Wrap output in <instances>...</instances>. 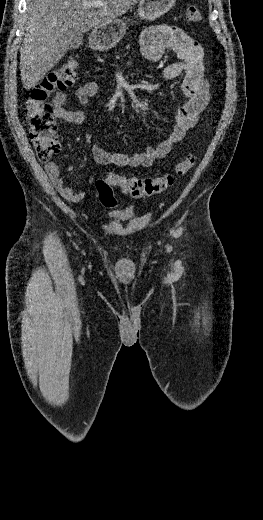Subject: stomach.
Returning <instances> with one entry per match:
<instances>
[{
  "label": "stomach",
  "mask_w": 263,
  "mask_h": 520,
  "mask_svg": "<svg viewBox=\"0 0 263 520\" xmlns=\"http://www.w3.org/2000/svg\"><path fill=\"white\" fill-rule=\"evenodd\" d=\"M176 0H140L137 16L141 20L153 21L167 13ZM126 23L117 19L95 27L90 35V46L97 51L113 48L125 35Z\"/></svg>",
  "instance_id": "0dacf381"
}]
</instances>
